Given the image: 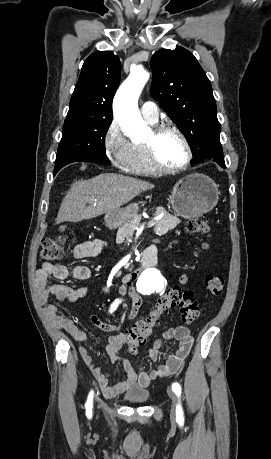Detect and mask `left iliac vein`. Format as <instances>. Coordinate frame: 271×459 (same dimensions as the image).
<instances>
[{"instance_id":"4c4485c4","label":"left iliac vein","mask_w":271,"mask_h":459,"mask_svg":"<svg viewBox=\"0 0 271 459\" xmlns=\"http://www.w3.org/2000/svg\"><path fill=\"white\" fill-rule=\"evenodd\" d=\"M167 392H168L169 397L171 398V404H172L171 416L175 417L176 409L178 405V398L172 390L168 389Z\"/></svg>"}]
</instances>
